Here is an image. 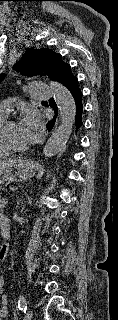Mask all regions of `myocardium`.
Here are the masks:
<instances>
[{
	"label": "myocardium",
	"mask_w": 118,
	"mask_h": 320,
	"mask_svg": "<svg viewBox=\"0 0 118 320\" xmlns=\"http://www.w3.org/2000/svg\"><path fill=\"white\" fill-rule=\"evenodd\" d=\"M16 124V121L13 119H6L0 125V142L4 147H6L11 152H25L28 150V146H16L9 141L6 136V129L9 125Z\"/></svg>",
	"instance_id": "1"
}]
</instances>
